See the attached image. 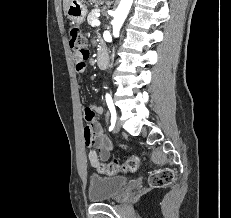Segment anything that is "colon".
Returning a JSON list of instances; mask_svg holds the SVG:
<instances>
[{"mask_svg": "<svg viewBox=\"0 0 231 218\" xmlns=\"http://www.w3.org/2000/svg\"><path fill=\"white\" fill-rule=\"evenodd\" d=\"M69 43L71 49L82 56H89L88 39L83 30L73 25L69 29ZM140 159L132 155L124 163L117 160L109 164H100L97 167L98 172L106 175H115L123 172H135L139 168ZM175 174L171 169L163 168L152 172L149 175V184L154 188H161L171 184Z\"/></svg>", "mask_w": 231, "mask_h": 218, "instance_id": "colon-1", "label": "colon"}]
</instances>
